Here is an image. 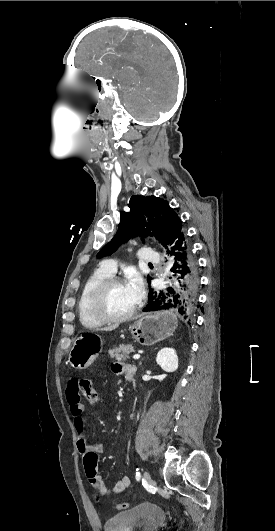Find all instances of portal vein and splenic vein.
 <instances>
[{"instance_id":"18ae733b","label":"portal vein and splenic vein","mask_w":275,"mask_h":531,"mask_svg":"<svg viewBox=\"0 0 275 531\" xmlns=\"http://www.w3.org/2000/svg\"><path fill=\"white\" fill-rule=\"evenodd\" d=\"M133 359H140V355H133Z\"/></svg>"}]
</instances>
